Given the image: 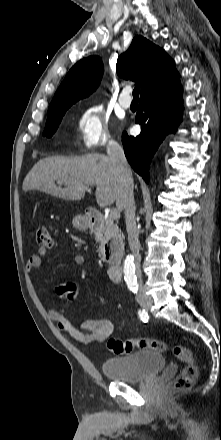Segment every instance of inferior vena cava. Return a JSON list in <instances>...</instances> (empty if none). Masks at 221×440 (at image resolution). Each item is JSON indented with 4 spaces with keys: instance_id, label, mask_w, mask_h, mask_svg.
<instances>
[{
    "instance_id": "obj_1",
    "label": "inferior vena cava",
    "mask_w": 221,
    "mask_h": 440,
    "mask_svg": "<svg viewBox=\"0 0 221 440\" xmlns=\"http://www.w3.org/2000/svg\"><path fill=\"white\" fill-rule=\"evenodd\" d=\"M109 160L119 179L121 189V205L124 209L126 230L128 234V243L131 252L135 257L136 272L140 287L142 286V274L140 269V242L139 232L135 220V201L133 193V178L123 148L116 141H111L107 148ZM140 295V294H139Z\"/></svg>"
}]
</instances>
